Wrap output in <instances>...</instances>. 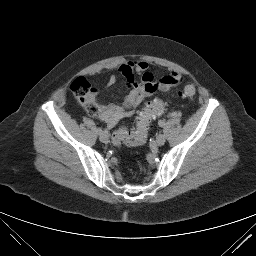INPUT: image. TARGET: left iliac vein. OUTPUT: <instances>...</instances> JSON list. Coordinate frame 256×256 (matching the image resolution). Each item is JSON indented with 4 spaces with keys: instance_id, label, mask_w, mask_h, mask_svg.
I'll use <instances>...</instances> for the list:
<instances>
[{
    "instance_id": "obj_1",
    "label": "left iliac vein",
    "mask_w": 256,
    "mask_h": 256,
    "mask_svg": "<svg viewBox=\"0 0 256 256\" xmlns=\"http://www.w3.org/2000/svg\"><path fill=\"white\" fill-rule=\"evenodd\" d=\"M165 141H166V138H165V136H164L163 134H159V135L156 137V144H157L158 146L164 145Z\"/></svg>"
}]
</instances>
